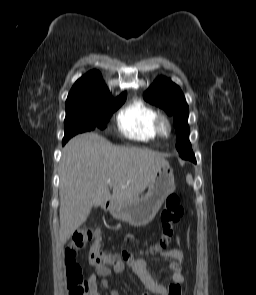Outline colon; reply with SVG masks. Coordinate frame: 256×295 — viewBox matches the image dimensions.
<instances>
[{"instance_id":"5ec220e1","label":"colon","mask_w":256,"mask_h":295,"mask_svg":"<svg viewBox=\"0 0 256 295\" xmlns=\"http://www.w3.org/2000/svg\"><path fill=\"white\" fill-rule=\"evenodd\" d=\"M184 214L180 197L171 194L166 198L165 204L159 214L161 235L155 246L156 250H162L171 243L175 229ZM88 259L91 265L100 267L111 263L115 258L103 252L100 248V241L97 232L91 228H82L73 233L65 249V268L67 290L69 295H91L89 286L85 281L81 267L76 261V256L89 243H91Z\"/></svg>"}]
</instances>
